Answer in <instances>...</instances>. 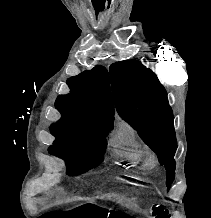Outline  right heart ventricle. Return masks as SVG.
Here are the masks:
<instances>
[{"mask_svg": "<svg viewBox=\"0 0 211 218\" xmlns=\"http://www.w3.org/2000/svg\"><path fill=\"white\" fill-rule=\"evenodd\" d=\"M115 136L128 144H112L114 152H121L120 156L125 157L122 165H129V169H146L150 165V160H138L147 156L146 148L138 139L133 126L124 119H119L115 126ZM133 146V147H132ZM135 148L140 154H135Z\"/></svg>", "mask_w": 211, "mask_h": 218, "instance_id": "e07e8e85", "label": "right heart ventricle"}]
</instances>
